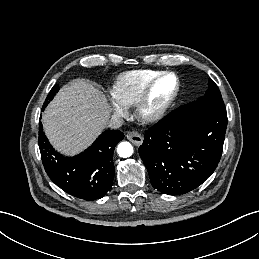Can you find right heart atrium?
Returning a JSON list of instances; mask_svg holds the SVG:
<instances>
[{
    "mask_svg": "<svg viewBox=\"0 0 259 259\" xmlns=\"http://www.w3.org/2000/svg\"><path fill=\"white\" fill-rule=\"evenodd\" d=\"M111 105L114 109V112L119 115V116H123L126 114L127 109L125 106H123L121 103H119L117 100H112L111 101Z\"/></svg>",
    "mask_w": 259,
    "mask_h": 259,
    "instance_id": "1",
    "label": "right heart atrium"
}]
</instances>
